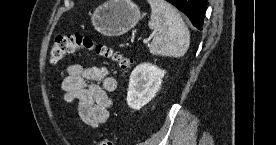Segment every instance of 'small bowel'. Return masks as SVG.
<instances>
[{"instance_id": "obj_1", "label": "small bowel", "mask_w": 276, "mask_h": 145, "mask_svg": "<svg viewBox=\"0 0 276 145\" xmlns=\"http://www.w3.org/2000/svg\"><path fill=\"white\" fill-rule=\"evenodd\" d=\"M116 87L117 81L108 75V70L94 65H69L62 82L65 101L77 102L80 119L92 128L108 121L111 106L108 93Z\"/></svg>"}]
</instances>
